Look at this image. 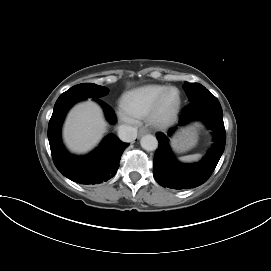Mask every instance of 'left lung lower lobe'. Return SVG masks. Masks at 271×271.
I'll list each match as a JSON object with an SVG mask.
<instances>
[{"mask_svg":"<svg viewBox=\"0 0 271 271\" xmlns=\"http://www.w3.org/2000/svg\"><path fill=\"white\" fill-rule=\"evenodd\" d=\"M195 119L203 121L212 130L215 142L212 149L199 163L182 164L174 158L169 146V137L176 127L171 128L167 135L156 134L159 148L154 156L153 176L163 187L188 189L203 184L213 173L224 151L226 134L223 112L218 99L214 95L191 101L179 117L178 126Z\"/></svg>","mask_w":271,"mask_h":271,"instance_id":"0a47b994","label":"left lung lower lobe"}]
</instances>
